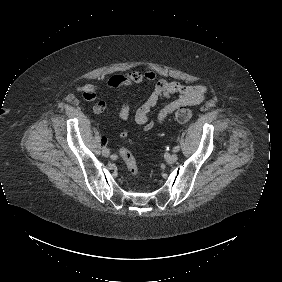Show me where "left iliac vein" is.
<instances>
[{
  "mask_svg": "<svg viewBox=\"0 0 282 282\" xmlns=\"http://www.w3.org/2000/svg\"><path fill=\"white\" fill-rule=\"evenodd\" d=\"M177 159H178L177 154L173 153V154L169 155L166 160H167L168 164H173L177 161Z\"/></svg>",
  "mask_w": 282,
  "mask_h": 282,
  "instance_id": "1",
  "label": "left iliac vein"
}]
</instances>
